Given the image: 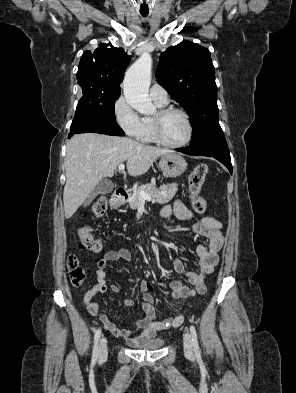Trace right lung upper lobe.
Returning a JSON list of instances; mask_svg holds the SVG:
<instances>
[{
	"mask_svg": "<svg viewBox=\"0 0 296 393\" xmlns=\"http://www.w3.org/2000/svg\"><path fill=\"white\" fill-rule=\"evenodd\" d=\"M131 57L111 43H100L81 57L77 80L85 94L120 93V84Z\"/></svg>",
	"mask_w": 296,
	"mask_h": 393,
	"instance_id": "right-lung-upper-lobe-1",
	"label": "right lung upper lobe"
}]
</instances>
